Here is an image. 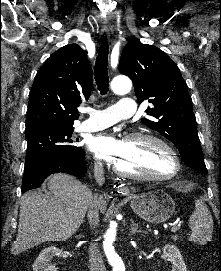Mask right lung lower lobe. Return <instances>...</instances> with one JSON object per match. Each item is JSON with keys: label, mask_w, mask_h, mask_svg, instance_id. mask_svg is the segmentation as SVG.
<instances>
[{"label": "right lung lower lobe", "mask_w": 221, "mask_h": 271, "mask_svg": "<svg viewBox=\"0 0 221 271\" xmlns=\"http://www.w3.org/2000/svg\"><path fill=\"white\" fill-rule=\"evenodd\" d=\"M83 149L66 157H50L25 164L22 193L40 187L42 182L54 172H64L82 176L86 172Z\"/></svg>", "instance_id": "obj_1"}]
</instances>
